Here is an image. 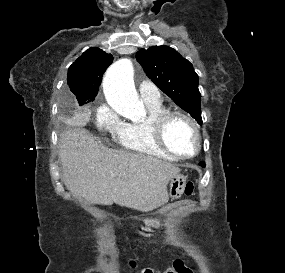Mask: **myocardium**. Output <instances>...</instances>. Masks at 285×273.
I'll return each mask as SVG.
<instances>
[{
    "instance_id": "obj_1",
    "label": "myocardium",
    "mask_w": 285,
    "mask_h": 273,
    "mask_svg": "<svg viewBox=\"0 0 285 273\" xmlns=\"http://www.w3.org/2000/svg\"><path fill=\"white\" fill-rule=\"evenodd\" d=\"M182 117L184 118L192 127L195 137H196V148L193 153L191 154H181L176 151H174L166 142L165 139V129L168 124V122L173 117ZM153 128V134L157 141V143L168 153L173 155L176 158L181 159H189L195 157L201 150V133H200V127L196 120L188 113L182 110H165L164 112L158 114L152 123Z\"/></svg>"
}]
</instances>
